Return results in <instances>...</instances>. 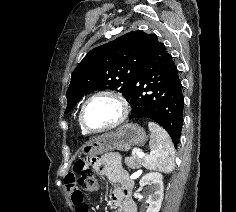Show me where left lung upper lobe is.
Wrapping results in <instances>:
<instances>
[{"label": "left lung upper lobe", "mask_w": 236, "mask_h": 212, "mask_svg": "<svg viewBox=\"0 0 236 212\" xmlns=\"http://www.w3.org/2000/svg\"><path fill=\"white\" fill-rule=\"evenodd\" d=\"M151 35L141 30L131 31L88 52L71 75L65 113L95 90H116L127 99Z\"/></svg>", "instance_id": "1"}]
</instances>
